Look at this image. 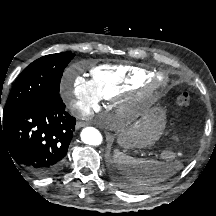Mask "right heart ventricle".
Listing matches in <instances>:
<instances>
[{"mask_svg": "<svg viewBox=\"0 0 216 216\" xmlns=\"http://www.w3.org/2000/svg\"><path fill=\"white\" fill-rule=\"evenodd\" d=\"M91 83L99 98H112L150 82L153 74L128 64H101L91 68Z\"/></svg>", "mask_w": 216, "mask_h": 216, "instance_id": "e07e8e85", "label": "right heart ventricle"}]
</instances>
